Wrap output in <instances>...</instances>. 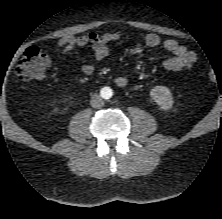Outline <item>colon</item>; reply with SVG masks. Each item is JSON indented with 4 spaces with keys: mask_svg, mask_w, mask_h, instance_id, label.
I'll use <instances>...</instances> for the list:
<instances>
[{
    "mask_svg": "<svg viewBox=\"0 0 222 219\" xmlns=\"http://www.w3.org/2000/svg\"><path fill=\"white\" fill-rule=\"evenodd\" d=\"M49 65V56L39 48L31 47L25 51L18 62L15 70L16 79L19 83L40 80L45 77ZM207 76L212 82L216 79L212 68L207 69Z\"/></svg>",
    "mask_w": 222,
    "mask_h": 219,
    "instance_id": "1",
    "label": "colon"
}]
</instances>
